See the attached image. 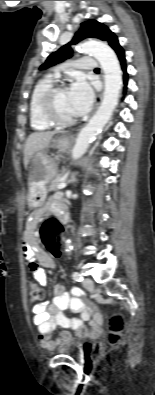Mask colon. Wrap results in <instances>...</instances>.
Returning <instances> with one entry per match:
<instances>
[{
    "label": "colon",
    "instance_id": "obj_1",
    "mask_svg": "<svg viewBox=\"0 0 155 395\" xmlns=\"http://www.w3.org/2000/svg\"><path fill=\"white\" fill-rule=\"evenodd\" d=\"M55 217L51 216L41 227V239L50 256H61L62 250L58 249V245L62 244L60 235H64L65 223L54 222ZM45 297L43 288L36 281L29 282V300L33 303L41 302ZM125 328L124 316L117 312L113 314L108 322L107 342L109 345L115 346L120 343L122 333Z\"/></svg>",
    "mask_w": 155,
    "mask_h": 395
}]
</instances>
